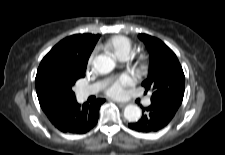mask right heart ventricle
<instances>
[{
  "mask_svg": "<svg viewBox=\"0 0 225 155\" xmlns=\"http://www.w3.org/2000/svg\"><path fill=\"white\" fill-rule=\"evenodd\" d=\"M131 48V41L127 37L121 35L112 36L105 43V49L117 58L129 56Z\"/></svg>",
  "mask_w": 225,
  "mask_h": 155,
  "instance_id": "obj_1",
  "label": "right heart ventricle"
}]
</instances>
